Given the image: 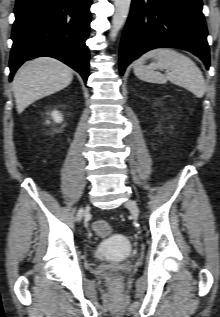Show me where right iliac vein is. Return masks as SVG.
I'll list each match as a JSON object with an SVG mask.
<instances>
[{
    "mask_svg": "<svg viewBox=\"0 0 220 317\" xmlns=\"http://www.w3.org/2000/svg\"><path fill=\"white\" fill-rule=\"evenodd\" d=\"M86 209H89L90 208V206L89 205H86V207H85Z\"/></svg>",
    "mask_w": 220,
    "mask_h": 317,
    "instance_id": "right-iliac-vein-1",
    "label": "right iliac vein"
}]
</instances>
